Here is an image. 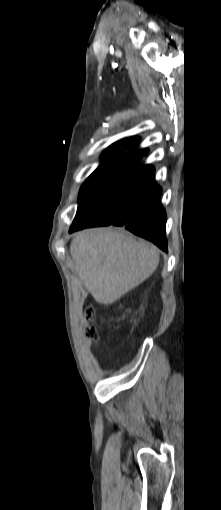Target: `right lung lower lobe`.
<instances>
[{
  "label": "right lung lower lobe",
  "mask_w": 221,
  "mask_h": 510,
  "mask_svg": "<svg viewBox=\"0 0 221 510\" xmlns=\"http://www.w3.org/2000/svg\"><path fill=\"white\" fill-rule=\"evenodd\" d=\"M154 170L150 165L142 168L125 203L113 217L96 216L88 206L79 205L69 232L109 224L124 226L135 235L166 250V213L160 204L162 190L154 181Z\"/></svg>",
  "instance_id": "1"
}]
</instances>
